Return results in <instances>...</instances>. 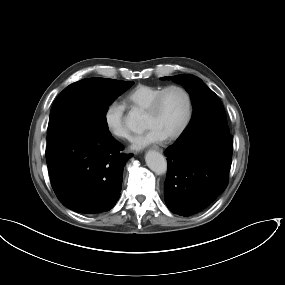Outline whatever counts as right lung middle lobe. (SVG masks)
Instances as JSON below:
<instances>
[{
    "label": "right lung middle lobe",
    "mask_w": 285,
    "mask_h": 285,
    "mask_svg": "<svg viewBox=\"0 0 285 285\" xmlns=\"http://www.w3.org/2000/svg\"><path fill=\"white\" fill-rule=\"evenodd\" d=\"M133 83L87 78L66 87L56 98L50 112L47 145L84 124L109 131L106 121L108 106Z\"/></svg>",
    "instance_id": "dd1d6c3e"
}]
</instances>
